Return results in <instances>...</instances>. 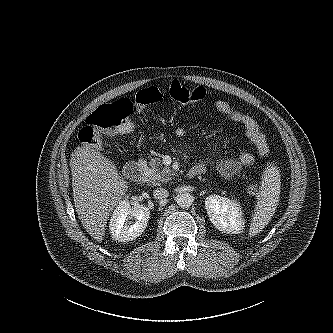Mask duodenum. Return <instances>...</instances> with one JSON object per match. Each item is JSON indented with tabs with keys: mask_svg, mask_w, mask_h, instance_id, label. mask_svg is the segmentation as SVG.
<instances>
[{
	"mask_svg": "<svg viewBox=\"0 0 333 333\" xmlns=\"http://www.w3.org/2000/svg\"><path fill=\"white\" fill-rule=\"evenodd\" d=\"M202 173V169L199 167H192L188 173L187 177L193 179ZM125 177L134 183H140L144 180V166L142 163L137 161H130L126 163L124 167Z\"/></svg>",
	"mask_w": 333,
	"mask_h": 333,
	"instance_id": "duodenum-1",
	"label": "duodenum"
}]
</instances>
